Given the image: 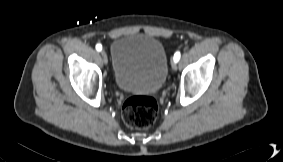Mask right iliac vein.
Instances as JSON below:
<instances>
[{
  "instance_id": "1",
  "label": "right iliac vein",
  "mask_w": 283,
  "mask_h": 162,
  "mask_svg": "<svg viewBox=\"0 0 283 162\" xmlns=\"http://www.w3.org/2000/svg\"><path fill=\"white\" fill-rule=\"evenodd\" d=\"M101 56H102L104 64H107L108 58H107V54H106V52L104 50L101 51Z\"/></svg>"
}]
</instances>
